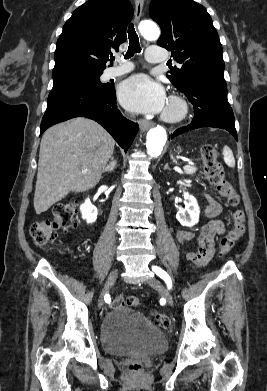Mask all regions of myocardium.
<instances>
[{
  "label": "myocardium",
  "mask_w": 267,
  "mask_h": 391,
  "mask_svg": "<svg viewBox=\"0 0 267 391\" xmlns=\"http://www.w3.org/2000/svg\"><path fill=\"white\" fill-rule=\"evenodd\" d=\"M188 111L186 100L180 96L173 95L168 100L162 119L168 123H178L186 118Z\"/></svg>",
  "instance_id": "myocardium-1"
}]
</instances>
